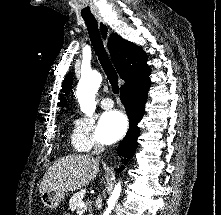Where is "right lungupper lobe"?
<instances>
[{
	"mask_svg": "<svg viewBox=\"0 0 221 215\" xmlns=\"http://www.w3.org/2000/svg\"><path fill=\"white\" fill-rule=\"evenodd\" d=\"M108 49L120 78L125 81L121 90L136 84L150 74L151 69L147 65V55L135 44L113 33L109 37ZM72 81V75L68 74L64 78L61 91L68 94ZM66 103L62 94L58 106H65Z\"/></svg>",
	"mask_w": 221,
	"mask_h": 215,
	"instance_id": "obj_1",
	"label": "right lung upper lobe"
}]
</instances>
